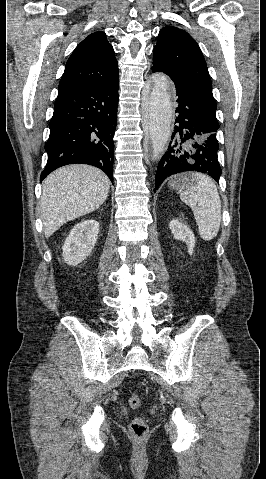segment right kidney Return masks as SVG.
Returning a JSON list of instances; mask_svg holds the SVG:
<instances>
[{"mask_svg":"<svg viewBox=\"0 0 266 479\" xmlns=\"http://www.w3.org/2000/svg\"><path fill=\"white\" fill-rule=\"evenodd\" d=\"M99 223L96 220H84L76 224L62 247L64 262L76 266L92 252L98 237Z\"/></svg>","mask_w":266,"mask_h":479,"instance_id":"right-kidney-1","label":"right kidney"}]
</instances>
